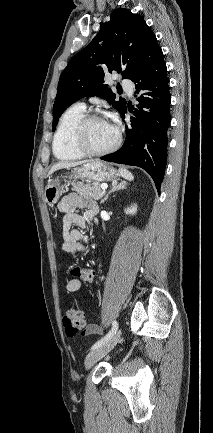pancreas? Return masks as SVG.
I'll list each match as a JSON object with an SVG mask.
<instances>
[{
	"label": "pancreas",
	"mask_w": 213,
	"mask_h": 433,
	"mask_svg": "<svg viewBox=\"0 0 213 433\" xmlns=\"http://www.w3.org/2000/svg\"><path fill=\"white\" fill-rule=\"evenodd\" d=\"M72 190L77 192L80 196H89L94 200H99L104 195L105 191L97 183L82 185L79 183L72 184Z\"/></svg>",
	"instance_id": "pancreas-1"
}]
</instances>
